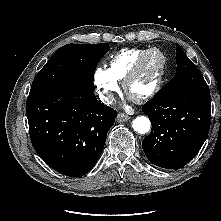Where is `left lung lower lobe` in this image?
<instances>
[{
  "mask_svg": "<svg viewBox=\"0 0 221 221\" xmlns=\"http://www.w3.org/2000/svg\"><path fill=\"white\" fill-rule=\"evenodd\" d=\"M210 92L154 96L142 108L152 130L142 141L149 161L166 169H179L191 161L207 138Z\"/></svg>",
  "mask_w": 221,
  "mask_h": 221,
  "instance_id": "left-lung-lower-lobe-1",
  "label": "left lung lower lobe"
}]
</instances>
